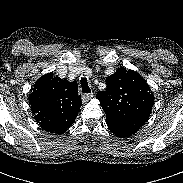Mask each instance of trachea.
<instances>
[{"label":"trachea","instance_id":"3493384b","mask_svg":"<svg viewBox=\"0 0 183 183\" xmlns=\"http://www.w3.org/2000/svg\"><path fill=\"white\" fill-rule=\"evenodd\" d=\"M80 84H81L83 93H90L91 92V90H90V88L88 86V82H87L86 78H81Z\"/></svg>","mask_w":183,"mask_h":183}]
</instances>
